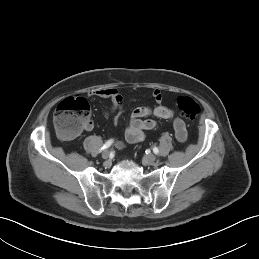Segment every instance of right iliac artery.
Here are the masks:
<instances>
[{
	"mask_svg": "<svg viewBox=\"0 0 259 259\" xmlns=\"http://www.w3.org/2000/svg\"><path fill=\"white\" fill-rule=\"evenodd\" d=\"M112 143H113V140H108V141L102 146V148H101L100 150L102 151V150L108 149V148L111 146Z\"/></svg>",
	"mask_w": 259,
	"mask_h": 259,
	"instance_id": "1",
	"label": "right iliac artery"
}]
</instances>
